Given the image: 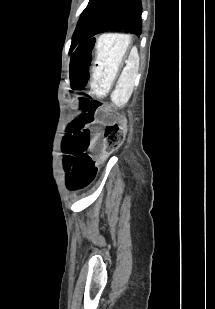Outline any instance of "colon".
Listing matches in <instances>:
<instances>
[{"mask_svg":"<svg viewBox=\"0 0 215 309\" xmlns=\"http://www.w3.org/2000/svg\"><path fill=\"white\" fill-rule=\"evenodd\" d=\"M127 128L126 117L123 115L118 122L105 126L103 139L107 145V151L117 150L125 140Z\"/></svg>","mask_w":215,"mask_h":309,"instance_id":"obj_1","label":"colon"}]
</instances>
